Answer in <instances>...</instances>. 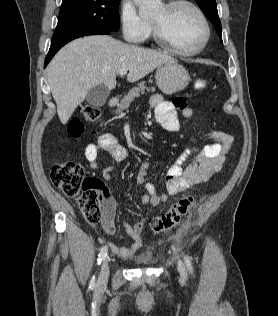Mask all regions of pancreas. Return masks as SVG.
<instances>
[{
	"label": "pancreas",
	"instance_id": "1",
	"mask_svg": "<svg viewBox=\"0 0 278 316\" xmlns=\"http://www.w3.org/2000/svg\"><path fill=\"white\" fill-rule=\"evenodd\" d=\"M145 90H147L148 92H154L155 88H146L145 82H140L136 87H133L127 95L124 96L116 109V113H122L125 109L129 107L130 103L134 101L136 97H140L141 94H145Z\"/></svg>",
	"mask_w": 278,
	"mask_h": 316
}]
</instances>
